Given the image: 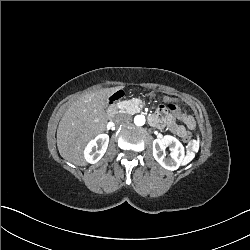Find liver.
<instances>
[{
    "instance_id": "liver-1",
    "label": "liver",
    "mask_w": 250,
    "mask_h": 250,
    "mask_svg": "<svg viewBox=\"0 0 250 250\" xmlns=\"http://www.w3.org/2000/svg\"><path fill=\"white\" fill-rule=\"evenodd\" d=\"M120 87L82 94L64 113L57 129L60 155L77 166H86L83 147L93 136L106 130V100Z\"/></svg>"
}]
</instances>
